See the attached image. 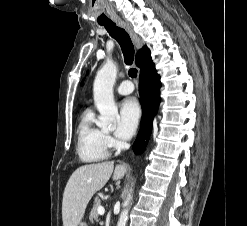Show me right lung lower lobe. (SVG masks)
I'll return each instance as SVG.
<instances>
[{"instance_id": "98d812e1", "label": "right lung lower lobe", "mask_w": 247, "mask_h": 226, "mask_svg": "<svg viewBox=\"0 0 247 226\" xmlns=\"http://www.w3.org/2000/svg\"><path fill=\"white\" fill-rule=\"evenodd\" d=\"M160 76L156 73L152 60L140 72L139 93L142 102V118L138 138L136 139L133 150L140 153L144 150L148 141L153 118L160 103Z\"/></svg>"}]
</instances>
